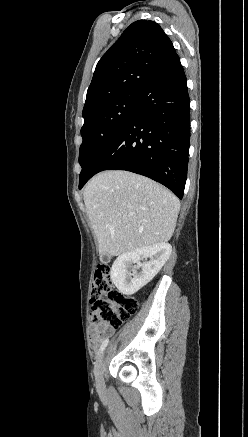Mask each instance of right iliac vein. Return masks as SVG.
Segmentation results:
<instances>
[{"instance_id": "obj_1", "label": "right iliac vein", "mask_w": 248, "mask_h": 437, "mask_svg": "<svg viewBox=\"0 0 248 437\" xmlns=\"http://www.w3.org/2000/svg\"><path fill=\"white\" fill-rule=\"evenodd\" d=\"M103 357L104 353H102L95 365V378H96V384L99 388L103 385Z\"/></svg>"}]
</instances>
